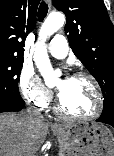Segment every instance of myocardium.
<instances>
[{
	"label": "myocardium",
	"mask_w": 114,
	"mask_h": 156,
	"mask_svg": "<svg viewBox=\"0 0 114 156\" xmlns=\"http://www.w3.org/2000/svg\"><path fill=\"white\" fill-rule=\"evenodd\" d=\"M72 78H86L90 81V83L92 84L94 88L95 95H96L95 110L91 114L83 115V116L69 114L63 109L61 105L60 97L58 95L56 99V104H55L56 113L59 114L63 118L74 120V121H87V120H92V119L97 118L101 114L103 110V105H104L103 94H102V90H101L99 82L91 73L86 72V71H77L72 75Z\"/></svg>",
	"instance_id": "myocardium-1"
}]
</instances>
